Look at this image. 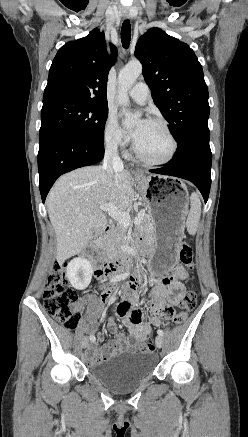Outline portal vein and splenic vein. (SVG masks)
Masks as SVG:
<instances>
[{"instance_id": "1", "label": "portal vein and splenic vein", "mask_w": 248, "mask_h": 437, "mask_svg": "<svg viewBox=\"0 0 248 437\" xmlns=\"http://www.w3.org/2000/svg\"><path fill=\"white\" fill-rule=\"evenodd\" d=\"M100 210L108 212V214L115 220H117L122 226L128 227L131 224V217L126 212L118 210L113 204L108 203L101 205ZM145 215V210H141L137 217L134 218V223L138 224L141 222Z\"/></svg>"}]
</instances>
